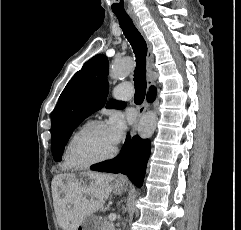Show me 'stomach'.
<instances>
[{
	"mask_svg": "<svg viewBox=\"0 0 241 230\" xmlns=\"http://www.w3.org/2000/svg\"><path fill=\"white\" fill-rule=\"evenodd\" d=\"M78 180V179H77ZM84 181H91L90 177L87 175L80 176V183ZM110 191L115 194H120L125 189V183L119 180H115L114 183L110 186ZM77 230H100V225L97 219L93 217H87L83 223L77 228Z\"/></svg>",
	"mask_w": 241,
	"mask_h": 230,
	"instance_id": "stomach-1",
	"label": "stomach"
}]
</instances>
